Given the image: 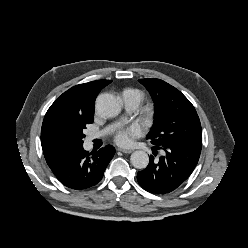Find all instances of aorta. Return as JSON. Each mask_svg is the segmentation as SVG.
Segmentation results:
<instances>
[{
  "instance_id": "762f6f07",
  "label": "aorta",
  "mask_w": 248,
  "mask_h": 248,
  "mask_svg": "<svg viewBox=\"0 0 248 248\" xmlns=\"http://www.w3.org/2000/svg\"><path fill=\"white\" fill-rule=\"evenodd\" d=\"M96 111L104 117H115L121 111V102L111 94H101L95 103ZM131 164L137 169H144L149 163V156L145 151H135L130 157Z\"/></svg>"
}]
</instances>
